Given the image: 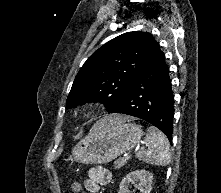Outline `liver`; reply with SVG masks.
<instances>
[{
  "instance_id": "6515ba94",
  "label": "liver",
  "mask_w": 221,
  "mask_h": 193,
  "mask_svg": "<svg viewBox=\"0 0 221 193\" xmlns=\"http://www.w3.org/2000/svg\"><path fill=\"white\" fill-rule=\"evenodd\" d=\"M129 120V118L127 117H122V116H109V117H105L101 120V124H103L104 126H112L115 124H119L122 122H125Z\"/></svg>"
}]
</instances>
